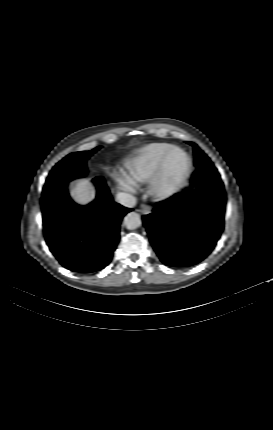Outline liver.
<instances>
[{"mask_svg":"<svg viewBox=\"0 0 273 430\" xmlns=\"http://www.w3.org/2000/svg\"><path fill=\"white\" fill-rule=\"evenodd\" d=\"M71 199L80 206H87L95 199V189L87 179L77 181L71 188Z\"/></svg>","mask_w":273,"mask_h":430,"instance_id":"liver-1","label":"liver"}]
</instances>
